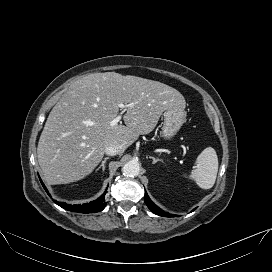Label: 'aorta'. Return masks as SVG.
Returning a JSON list of instances; mask_svg holds the SVG:
<instances>
[{"mask_svg": "<svg viewBox=\"0 0 272 272\" xmlns=\"http://www.w3.org/2000/svg\"><path fill=\"white\" fill-rule=\"evenodd\" d=\"M140 171V165L137 161L131 160L125 163L122 167V173L127 177H135L138 176Z\"/></svg>", "mask_w": 272, "mask_h": 272, "instance_id": "762f6f07", "label": "aorta"}]
</instances>
